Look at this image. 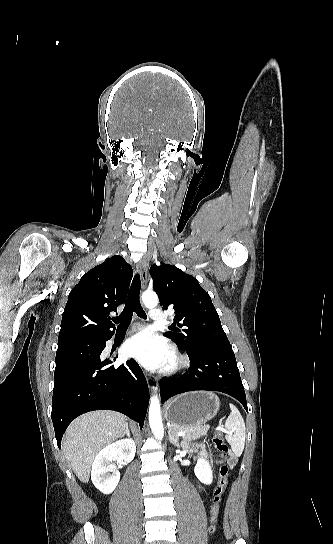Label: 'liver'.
I'll list each match as a JSON object with an SVG mask.
<instances>
[{
  "label": "liver",
  "mask_w": 333,
  "mask_h": 544,
  "mask_svg": "<svg viewBox=\"0 0 333 544\" xmlns=\"http://www.w3.org/2000/svg\"><path fill=\"white\" fill-rule=\"evenodd\" d=\"M125 417L117 412L96 411L78 417L67 429L63 453L80 481L87 483L100 450L123 437Z\"/></svg>",
  "instance_id": "obj_1"
}]
</instances>
